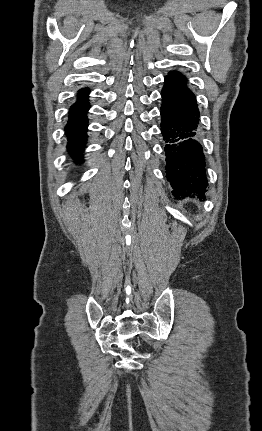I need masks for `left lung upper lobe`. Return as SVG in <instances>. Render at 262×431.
<instances>
[{"instance_id": "obj_1", "label": "left lung upper lobe", "mask_w": 262, "mask_h": 431, "mask_svg": "<svg viewBox=\"0 0 262 431\" xmlns=\"http://www.w3.org/2000/svg\"><path fill=\"white\" fill-rule=\"evenodd\" d=\"M167 77L172 78V79H174V80H176V81H178V82H180L182 84H186L185 77L181 73H179V72H172L171 71L169 73V76H167Z\"/></svg>"}]
</instances>
